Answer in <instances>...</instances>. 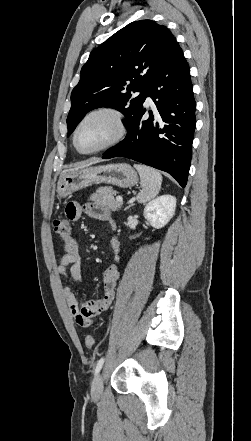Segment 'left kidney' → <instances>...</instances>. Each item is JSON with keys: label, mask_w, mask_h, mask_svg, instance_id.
Here are the masks:
<instances>
[{"label": "left kidney", "mask_w": 251, "mask_h": 441, "mask_svg": "<svg viewBox=\"0 0 251 441\" xmlns=\"http://www.w3.org/2000/svg\"><path fill=\"white\" fill-rule=\"evenodd\" d=\"M176 209V198L172 195H162L144 208V217L156 229L164 227L174 216Z\"/></svg>", "instance_id": "left-kidney-1"}]
</instances>
